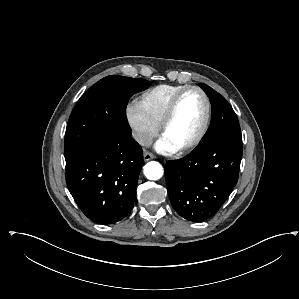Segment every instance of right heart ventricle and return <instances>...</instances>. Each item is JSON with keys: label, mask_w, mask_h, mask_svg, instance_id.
<instances>
[{"label": "right heart ventricle", "mask_w": 299, "mask_h": 299, "mask_svg": "<svg viewBox=\"0 0 299 299\" xmlns=\"http://www.w3.org/2000/svg\"><path fill=\"white\" fill-rule=\"evenodd\" d=\"M186 85L162 84L145 91L138 99L146 116L159 126L161 119L173 97Z\"/></svg>", "instance_id": "obj_1"}]
</instances>
